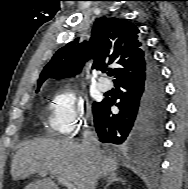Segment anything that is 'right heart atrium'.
I'll return each mask as SVG.
<instances>
[{
	"mask_svg": "<svg viewBox=\"0 0 188 189\" xmlns=\"http://www.w3.org/2000/svg\"><path fill=\"white\" fill-rule=\"evenodd\" d=\"M87 106L70 90L59 91L52 100L50 126L56 133L67 135L83 128Z\"/></svg>",
	"mask_w": 188,
	"mask_h": 189,
	"instance_id": "d8ad5b80",
	"label": "right heart atrium"
}]
</instances>
